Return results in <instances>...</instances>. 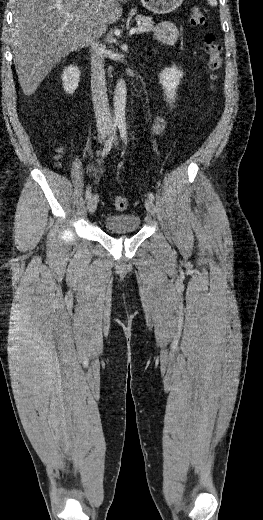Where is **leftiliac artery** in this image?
<instances>
[{"label":"left iliac artery","mask_w":263,"mask_h":520,"mask_svg":"<svg viewBox=\"0 0 263 520\" xmlns=\"http://www.w3.org/2000/svg\"><path fill=\"white\" fill-rule=\"evenodd\" d=\"M118 128H119V131H120V136L121 138L123 139V141L125 142V144H127V131H126V122L124 119H121L118 123ZM148 197L149 199H151L152 201L154 200V195L153 193L149 192L148 193Z\"/></svg>","instance_id":"1"}]
</instances>
